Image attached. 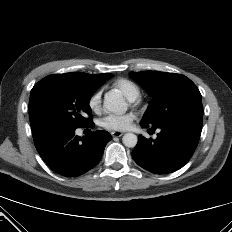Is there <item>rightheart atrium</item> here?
Returning <instances> with one entry per match:
<instances>
[{"label":"right heart atrium","mask_w":232,"mask_h":232,"mask_svg":"<svg viewBox=\"0 0 232 232\" xmlns=\"http://www.w3.org/2000/svg\"><path fill=\"white\" fill-rule=\"evenodd\" d=\"M88 107L92 112H99L101 107V93L94 92L88 99Z\"/></svg>","instance_id":"obj_1"}]
</instances>
